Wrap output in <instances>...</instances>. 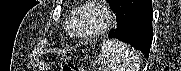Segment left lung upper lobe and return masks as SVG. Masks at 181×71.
I'll return each instance as SVG.
<instances>
[{
	"mask_svg": "<svg viewBox=\"0 0 181 71\" xmlns=\"http://www.w3.org/2000/svg\"><path fill=\"white\" fill-rule=\"evenodd\" d=\"M107 2L110 3V6L112 8L116 0H107Z\"/></svg>",
	"mask_w": 181,
	"mask_h": 71,
	"instance_id": "obj_1",
	"label": "left lung upper lobe"
}]
</instances>
